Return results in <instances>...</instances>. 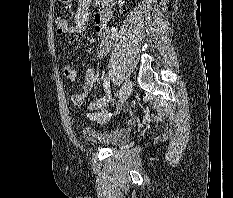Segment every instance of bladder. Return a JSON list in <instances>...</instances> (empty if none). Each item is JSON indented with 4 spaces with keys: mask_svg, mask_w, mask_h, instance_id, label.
<instances>
[{
    "mask_svg": "<svg viewBox=\"0 0 233 198\" xmlns=\"http://www.w3.org/2000/svg\"><path fill=\"white\" fill-rule=\"evenodd\" d=\"M87 133L93 141L102 143L112 148L127 143L131 138L130 131L125 128H115L103 132H96L88 129Z\"/></svg>",
    "mask_w": 233,
    "mask_h": 198,
    "instance_id": "obj_1",
    "label": "bladder"
}]
</instances>
